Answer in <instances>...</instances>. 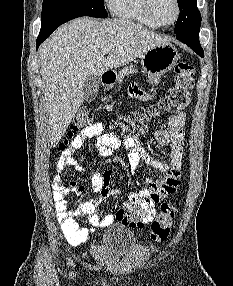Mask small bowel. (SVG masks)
<instances>
[{
	"label": "small bowel",
	"instance_id": "1",
	"mask_svg": "<svg viewBox=\"0 0 233 286\" xmlns=\"http://www.w3.org/2000/svg\"><path fill=\"white\" fill-rule=\"evenodd\" d=\"M131 94L141 100L149 101L155 98V95L150 92L143 91L137 86H132ZM186 121V113L181 110L173 115L167 122L164 128L158 129L154 133L156 141L163 146L169 147V160L152 157L141 145L137 136H130L123 141L119 140L114 134L105 132V127L102 123H95L83 129L71 142L70 146L63 152L57 160V173L52 180L53 201L57 214V219L61 224V229L72 245H80L84 243L89 235L97 228H102L111 225L115 220L121 221L126 225L140 227L151 221L155 214V205L164 198L173 195L180 184L181 166L183 159L184 146V125ZM89 139H95V145L100 156L109 157L113 150L119 148L123 143L129 150L128 164L132 172H135L141 163L147 166L154 167L159 171L164 172V176L159 180L147 179L146 187L141 188L130 196V199L122 207L114 209L111 213L105 216L100 215L99 201H84L81 202L74 210L68 209L67 195L71 192L80 195L83 192L82 188L72 187L67 188L63 182L61 172L67 167H73L79 173H86L91 181L93 190L99 193L101 199H105L111 195H119V189L110 187L111 173L98 172L89 169H84L74 157V154L79 150ZM135 203L142 204V209L145 213L143 220L135 224L128 218V212L132 209ZM86 216L90 228H84L80 225L78 219Z\"/></svg>",
	"mask_w": 233,
	"mask_h": 286
}]
</instances>
